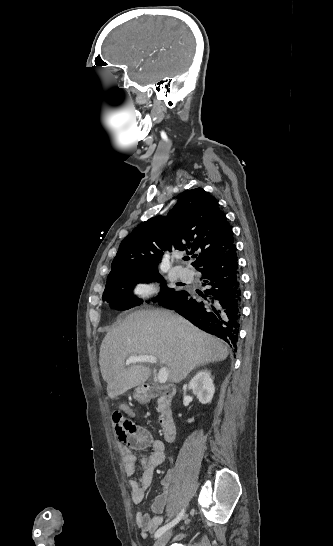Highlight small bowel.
Here are the masks:
<instances>
[{
	"instance_id": "small-bowel-1",
	"label": "small bowel",
	"mask_w": 333,
	"mask_h": 546,
	"mask_svg": "<svg viewBox=\"0 0 333 546\" xmlns=\"http://www.w3.org/2000/svg\"><path fill=\"white\" fill-rule=\"evenodd\" d=\"M118 409L130 418H134V412L128 406L126 401H123ZM146 448L149 449L148 456L138 461L137 457L132 453V450ZM118 449L121 454V461L124 471L128 476L134 475L136 464L138 462L142 467V474L140 477L129 481L132 501L135 505H140L145 500L146 492L152 484L156 467H158L164 461V443L159 439H154L148 430L135 425V429L130 435L129 443L119 444ZM163 486L165 489L169 488V483L167 480L163 481ZM168 496V492L166 491L155 499L151 506L154 513L160 514L163 511L168 501ZM163 520L164 519L161 515L151 517L150 515L140 511L136 514V525L143 534L154 532L163 523Z\"/></svg>"
}]
</instances>
